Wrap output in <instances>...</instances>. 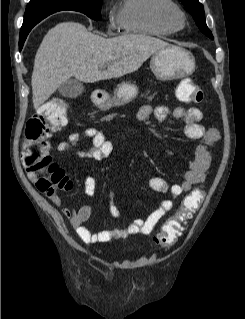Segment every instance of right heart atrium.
Masks as SVG:
<instances>
[{"instance_id":"right-heart-atrium-1","label":"right heart atrium","mask_w":245,"mask_h":319,"mask_svg":"<svg viewBox=\"0 0 245 319\" xmlns=\"http://www.w3.org/2000/svg\"><path fill=\"white\" fill-rule=\"evenodd\" d=\"M108 23L110 28H117L119 26V21L117 17L110 15L108 17Z\"/></svg>"}]
</instances>
